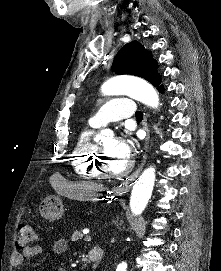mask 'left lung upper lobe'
I'll return each instance as SVG.
<instances>
[{
    "label": "left lung upper lobe",
    "instance_id": "5c2ea615",
    "mask_svg": "<svg viewBox=\"0 0 221 271\" xmlns=\"http://www.w3.org/2000/svg\"><path fill=\"white\" fill-rule=\"evenodd\" d=\"M157 62L140 43L126 44L116 55L112 69L116 74H130L142 77L157 88L161 79L157 73Z\"/></svg>",
    "mask_w": 221,
    "mask_h": 271
}]
</instances>
